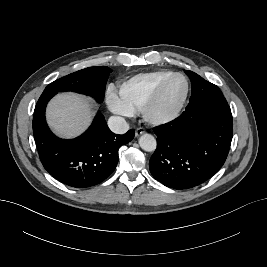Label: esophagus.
<instances>
[{"label":"esophagus","mask_w":267,"mask_h":267,"mask_svg":"<svg viewBox=\"0 0 267 267\" xmlns=\"http://www.w3.org/2000/svg\"><path fill=\"white\" fill-rule=\"evenodd\" d=\"M144 133H145L144 128L139 127V128L136 129L135 136H136V137H139L140 135H142V134H144Z\"/></svg>","instance_id":"34e87169"}]
</instances>
